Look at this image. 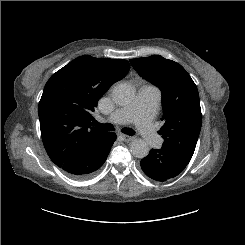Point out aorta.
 <instances>
[{
  "mask_svg": "<svg viewBox=\"0 0 245 245\" xmlns=\"http://www.w3.org/2000/svg\"><path fill=\"white\" fill-rule=\"evenodd\" d=\"M134 96V88L126 83L118 84L113 89V99L121 106L129 104ZM130 152L136 158H144L149 153V146L144 140L135 139L131 142Z\"/></svg>",
  "mask_w": 245,
  "mask_h": 245,
  "instance_id": "762f6f07",
  "label": "aorta"
}]
</instances>
